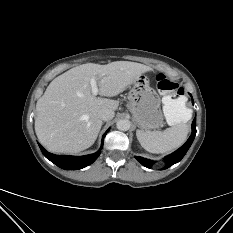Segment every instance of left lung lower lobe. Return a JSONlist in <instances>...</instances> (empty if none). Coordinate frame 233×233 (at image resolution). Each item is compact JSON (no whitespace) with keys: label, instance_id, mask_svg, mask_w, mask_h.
I'll return each instance as SVG.
<instances>
[{"label":"left lung lower lobe","instance_id":"obj_1","mask_svg":"<svg viewBox=\"0 0 233 233\" xmlns=\"http://www.w3.org/2000/svg\"><path fill=\"white\" fill-rule=\"evenodd\" d=\"M193 100V99H192ZM193 102V101H192ZM194 104V102H193ZM196 135V117L194 118L193 122H192V134L189 137V139L187 140V142L180 147L178 150H176L175 152H173L172 154L168 155L167 157H165V161H166V166L163 169H167L170 166H172L175 163H178L186 154V152L188 151V149L190 148L194 138ZM143 166L147 167V168H151L152 164L154 163L151 160L142 158V157H135Z\"/></svg>","mask_w":233,"mask_h":233}]
</instances>
